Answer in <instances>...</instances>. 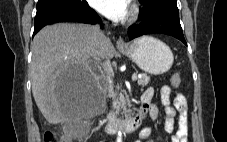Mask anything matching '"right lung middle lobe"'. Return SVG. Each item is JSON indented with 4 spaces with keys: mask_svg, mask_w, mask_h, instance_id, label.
Instances as JSON below:
<instances>
[{
    "mask_svg": "<svg viewBox=\"0 0 227 142\" xmlns=\"http://www.w3.org/2000/svg\"><path fill=\"white\" fill-rule=\"evenodd\" d=\"M85 0H38L37 10H43L59 6H76Z\"/></svg>",
    "mask_w": 227,
    "mask_h": 142,
    "instance_id": "dd1d6c3e",
    "label": "right lung middle lobe"
}]
</instances>
